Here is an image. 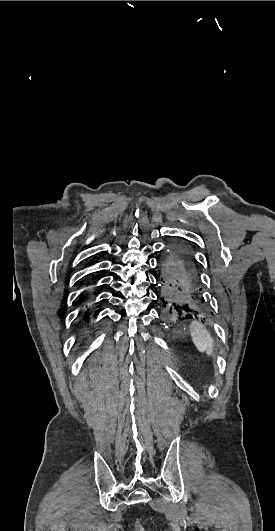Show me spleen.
I'll return each mask as SVG.
<instances>
[{"mask_svg":"<svg viewBox=\"0 0 275 531\" xmlns=\"http://www.w3.org/2000/svg\"><path fill=\"white\" fill-rule=\"evenodd\" d=\"M189 329H190L191 339L196 349H198L200 353H206V355H212L214 341L209 331H207L206 327H204V325H201V323H198V321H193Z\"/></svg>","mask_w":275,"mask_h":531,"instance_id":"3e777b00","label":"spleen"}]
</instances>
